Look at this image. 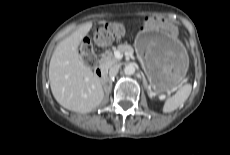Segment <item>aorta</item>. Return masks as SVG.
<instances>
[{"label": "aorta", "instance_id": "1", "mask_svg": "<svg viewBox=\"0 0 230 155\" xmlns=\"http://www.w3.org/2000/svg\"><path fill=\"white\" fill-rule=\"evenodd\" d=\"M135 65L133 63H130V64H127L125 67H124V73L126 75H133L135 73Z\"/></svg>", "mask_w": 230, "mask_h": 155}]
</instances>
